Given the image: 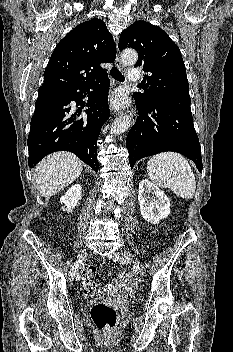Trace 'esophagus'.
<instances>
[{"instance_id":"obj_1","label":"esophagus","mask_w":233,"mask_h":352,"mask_svg":"<svg viewBox=\"0 0 233 352\" xmlns=\"http://www.w3.org/2000/svg\"><path fill=\"white\" fill-rule=\"evenodd\" d=\"M115 65H116V67L119 68V69H122V68H123V65H122V63H121V61H120L118 52H117V56H116V59H115ZM120 114H123V113L120 112ZM126 114L130 117V119H131L132 121L134 120V115H133L132 113H126Z\"/></svg>"}]
</instances>
